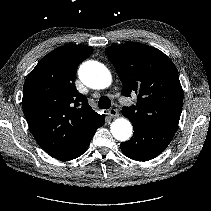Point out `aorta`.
Here are the masks:
<instances>
[{"mask_svg":"<svg viewBox=\"0 0 211 211\" xmlns=\"http://www.w3.org/2000/svg\"><path fill=\"white\" fill-rule=\"evenodd\" d=\"M80 80L93 89H104L111 84V73L97 61L83 63L78 71ZM111 133L119 141H127L132 135V125L126 118H118L111 124Z\"/></svg>","mask_w":211,"mask_h":211,"instance_id":"1","label":"aorta"}]
</instances>
